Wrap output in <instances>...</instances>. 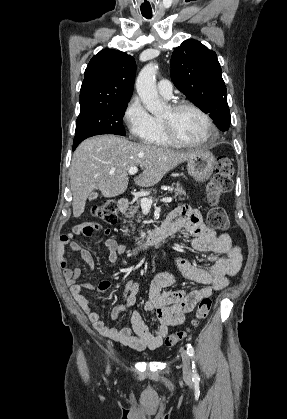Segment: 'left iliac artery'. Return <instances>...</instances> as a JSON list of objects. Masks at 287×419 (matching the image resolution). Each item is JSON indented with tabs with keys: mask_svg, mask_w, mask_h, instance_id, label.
Masks as SVG:
<instances>
[{
	"mask_svg": "<svg viewBox=\"0 0 287 419\" xmlns=\"http://www.w3.org/2000/svg\"><path fill=\"white\" fill-rule=\"evenodd\" d=\"M187 353L189 354V356H190L191 358H194V357H195V352H194V349H193V347L191 346V344H188V345H187ZM192 368H193V378H192V380H193V381H198V380H200L199 375H198V373H197V371H196V369H195V364H194V361H193Z\"/></svg>",
	"mask_w": 287,
	"mask_h": 419,
	"instance_id": "1",
	"label": "left iliac artery"
}]
</instances>
